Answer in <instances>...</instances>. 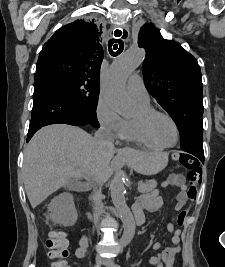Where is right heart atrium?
Returning a JSON list of instances; mask_svg holds the SVG:
<instances>
[{
    "mask_svg": "<svg viewBox=\"0 0 225 267\" xmlns=\"http://www.w3.org/2000/svg\"><path fill=\"white\" fill-rule=\"evenodd\" d=\"M96 115L101 126L115 135H122L124 119L117 112L113 104L104 96L97 102Z\"/></svg>",
    "mask_w": 225,
    "mask_h": 267,
    "instance_id": "obj_1",
    "label": "right heart atrium"
}]
</instances>
